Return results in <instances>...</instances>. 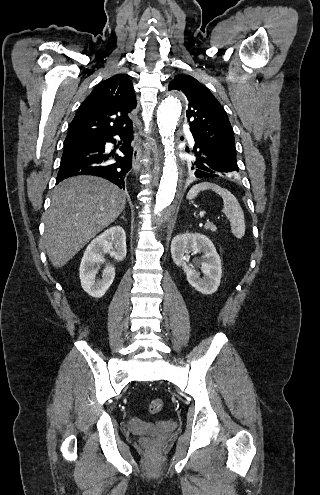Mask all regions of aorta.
Returning <instances> with one entry per match:
<instances>
[{"mask_svg": "<svg viewBox=\"0 0 320 495\" xmlns=\"http://www.w3.org/2000/svg\"><path fill=\"white\" fill-rule=\"evenodd\" d=\"M184 96L180 91L171 92L160 105L157 123L164 145V167L156 200L150 209L149 229L152 235H158L165 221L176 211L174 200L178 185V168L174 154V132L179 121Z\"/></svg>", "mask_w": 320, "mask_h": 495, "instance_id": "1", "label": "aorta"}]
</instances>
